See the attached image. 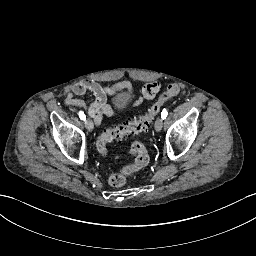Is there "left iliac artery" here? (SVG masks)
Here are the masks:
<instances>
[{
	"label": "left iliac artery",
	"mask_w": 256,
	"mask_h": 256,
	"mask_svg": "<svg viewBox=\"0 0 256 256\" xmlns=\"http://www.w3.org/2000/svg\"><path fill=\"white\" fill-rule=\"evenodd\" d=\"M167 115H168L167 110H166V109H163V111H162V113H161L162 119H165V118L167 117Z\"/></svg>",
	"instance_id": "obj_1"
}]
</instances>
